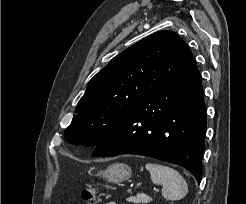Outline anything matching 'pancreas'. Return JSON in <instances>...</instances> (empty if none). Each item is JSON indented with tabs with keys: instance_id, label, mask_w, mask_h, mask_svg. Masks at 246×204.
Wrapping results in <instances>:
<instances>
[{
	"instance_id": "1",
	"label": "pancreas",
	"mask_w": 246,
	"mask_h": 204,
	"mask_svg": "<svg viewBox=\"0 0 246 204\" xmlns=\"http://www.w3.org/2000/svg\"><path fill=\"white\" fill-rule=\"evenodd\" d=\"M126 200L134 204H139V203H148L152 199L148 197L147 195L141 193V194H138L136 197H128Z\"/></svg>"
}]
</instances>
